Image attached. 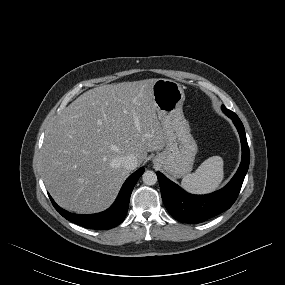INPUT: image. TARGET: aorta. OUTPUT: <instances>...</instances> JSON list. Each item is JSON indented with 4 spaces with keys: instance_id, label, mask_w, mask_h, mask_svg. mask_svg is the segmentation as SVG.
Segmentation results:
<instances>
[{
    "instance_id": "1",
    "label": "aorta",
    "mask_w": 285,
    "mask_h": 285,
    "mask_svg": "<svg viewBox=\"0 0 285 285\" xmlns=\"http://www.w3.org/2000/svg\"><path fill=\"white\" fill-rule=\"evenodd\" d=\"M143 183L146 185H154L157 182V175L154 171H145L142 175Z\"/></svg>"
}]
</instances>
